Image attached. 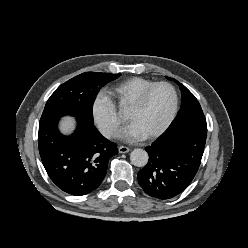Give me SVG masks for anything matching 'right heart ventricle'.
I'll return each mask as SVG.
<instances>
[{
  "label": "right heart ventricle",
  "mask_w": 248,
  "mask_h": 248,
  "mask_svg": "<svg viewBox=\"0 0 248 248\" xmlns=\"http://www.w3.org/2000/svg\"><path fill=\"white\" fill-rule=\"evenodd\" d=\"M153 83L155 82L146 78L132 77L115 83L109 88L108 93L121 110L127 111L142 91Z\"/></svg>",
  "instance_id": "e07e8e85"
}]
</instances>
